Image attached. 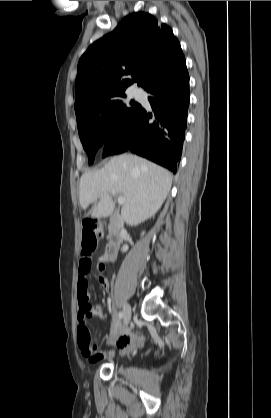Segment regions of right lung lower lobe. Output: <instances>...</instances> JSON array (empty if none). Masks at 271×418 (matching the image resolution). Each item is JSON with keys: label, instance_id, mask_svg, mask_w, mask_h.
Instances as JSON below:
<instances>
[{"label": "right lung lower lobe", "instance_id": "98d812e1", "mask_svg": "<svg viewBox=\"0 0 271 418\" xmlns=\"http://www.w3.org/2000/svg\"><path fill=\"white\" fill-rule=\"evenodd\" d=\"M147 92L154 115L140 107L105 141L103 157L130 150L174 173L177 170L190 100L186 62L156 81Z\"/></svg>", "mask_w": 271, "mask_h": 418}]
</instances>
